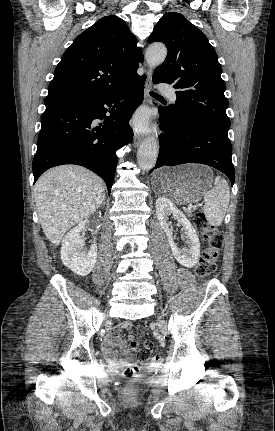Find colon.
Listing matches in <instances>:
<instances>
[{
	"instance_id": "5ec220e1",
	"label": "colon",
	"mask_w": 275,
	"mask_h": 431,
	"mask_svg": "<svg viewBox=\"0 0 275 431\" xmlns=\"http://www.w3.org/2000/svg\"><path fill=\"white\" fill-rule=\"evenodd\" d=\"M193 221L199 234L208 241V246L203 251L202 256L195 266L196 276L200 279H206L216 269L220 250L223 245V233L217 226L210 225L205 214L202 212L197 213ZM129 338L131 340V350L137 353V363L124 370V375L128 377L132 376L143 363L149 360L153 363H157L160 360V357L157 355L151 356L153 350V344L151 342H146L143 348H140L138 342L134 340V333H129ZM135 389L136 387L132 386L130 390L134 391Z\"/></svg>"
}]
</instances>
